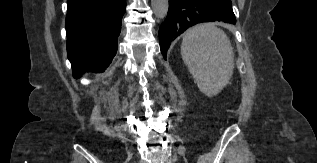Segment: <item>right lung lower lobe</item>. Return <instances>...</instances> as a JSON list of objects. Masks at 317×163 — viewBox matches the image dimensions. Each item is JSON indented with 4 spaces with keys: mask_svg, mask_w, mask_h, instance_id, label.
<instances>
[{
    "mask_svg": "<svg viewBox=\"0 0 317 163\" xmlns=\"http://www.w3.org/2000/svg\"><path fill=\"white\" fill-rule=\"evenodd\" d=\"M67 53L73 75L103 72L117 52L125 0H67Z\"/></svg>",
    "mask_w": 317,
    "mask_h": 163,
    "instance_id": "1",
    "label": "right lung lower lobe"
}]
</instances>
